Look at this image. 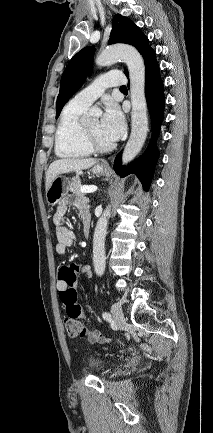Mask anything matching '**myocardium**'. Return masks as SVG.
<instances>
[{"instance_id":"1","label":"myocardium","mask_w":213,"mask_h":433,"mask_svg":"<svg viewBox=\"0 0 213 433\" xmlns=\"http://www.w3.org/2000/svg\"><path fill=\"white\" fill-rule=\"evenodd\" d=\"M82 133L83 138L86 143V145L93 151L98 153H105L111 151L115 145L114 143L108 144V145H102L99 142L95 140V138L92 136V134L88 131L86 126L82 127Z\"/></svg>"}]
</instances>
